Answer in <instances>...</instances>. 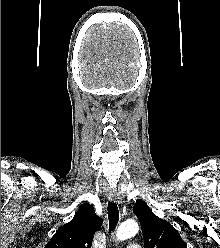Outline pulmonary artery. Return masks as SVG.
Segmentation results:
<instances>
[{
  "mask_svg": "<svg viewBox=\"0 0 220 248\" xmlns=\"http://www.w3.org/2000/svg\"><path fill=\"white\" fill-rule=\"evenodd\" d=\"M127 248H140V246L136 244H130Z\"/></svg>",
  "mask_w": 220,
  "mask_h": 248,
  "instance_id": "1",
  "label": "pulmonary artery"
}]
</instances>
